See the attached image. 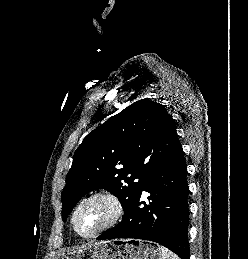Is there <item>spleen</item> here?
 Masks as SVG:
<instances>
[{
    "label": "spleen",
    "mask_w": 248,
    "mask_h": 259,
    "mask_svg": "<svg viewBox=\"0 0 248 259\" xmlns=\"http://www.w3.org/2000/svg\"><path fill=\"white\" fill-rule=\"evenodd\" d=\"M161 252H162V259H180L176 254H174L172 251L168 250L167 248L161 246Z\"/></svg>",
    "instance_id": "obj_1"
}]
</instances>
